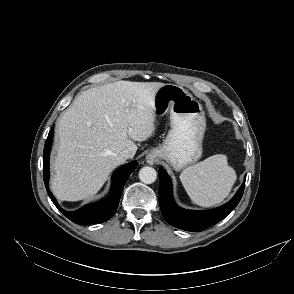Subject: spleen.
<instances>
[{
    "instance_id": "3e777b00",
    "label": "spleen",
    "mask_w": 294,
    "mask_h": 294,
    "mask_svg": "<svg viewBox=\"0 0 294 294\" xmlns=\"http://www.w3.org/2000/svg\"><path fill=\"white\" fill-rule=\"evenodd\" d=\"M180 180L195 204L211 207L229 195L236 181V173L228 164L227 156L217 154L185 168Z\"/></svg>"
}]
</instances>
